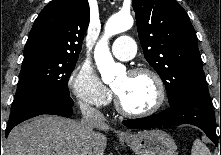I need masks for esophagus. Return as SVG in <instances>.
<instances>
[{
	"label": "esophagus",
	"mask_w": 221,
	"mask_h": 155,
	"mask_svg": "<svg viewBox=\"0 0 221 155\" xmlns=\"http://www.w3.org/2000/svg\"><path fill=\"white\" fill-rule=\"evenodd\" d=\"M123 135H127V133H123Z\"/></svg>",
	"instance_id": "34e87169"
}]
</instances>
